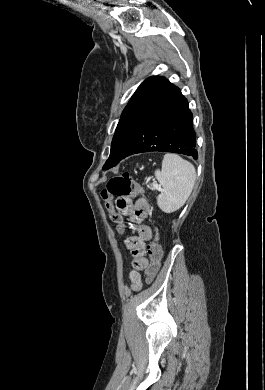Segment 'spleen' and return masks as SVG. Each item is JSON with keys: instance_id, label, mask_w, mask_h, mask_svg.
<instances>
[{"instance_id": "spleen-1", "label": "spleen", "mask_w": 265, "mask_h": 390, "mask_svg": "<svg viewBox=\"0 0 265 390\" xmlns=\"http://www.w3.org/2000/svg\"><path fill=\"white\" fill-rule=\"evenodd\" d=\"M154 174L162 186L157 197L158 207L165 213L180 209L195 183L196 170L193 164L176 154L167 153L162 160L161 170H156Z\"/></svg>"}]
</instances>
